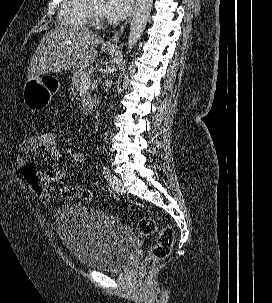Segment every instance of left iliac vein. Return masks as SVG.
<instances>
[{
	"label": "left iliac vein",
	"mask_w": 272,
	"mask_h": 303,
	"mask_svg": "<svg viewBox=\"0 0 272 303\" xmlns=\"http://www.w3.org/2000/svg\"><path fill=\"white\" fill-rule=\"evenodd\" d=\"M108 181H109L110 186L116 193H118V194L125 193L122 182L116 175L111 174L108 178Z\"/></svg>",
	"instance_id": "obj_1"
}]
</instances>
